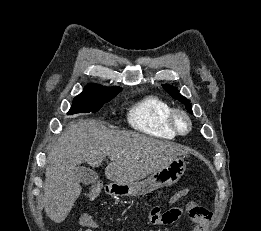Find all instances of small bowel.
<instances>
[{
    "label": "small bowel",
    "instance_id": "c3829d8e",
    "mask_svg": "<svg viewBox=\"0 0 261 231\" xmlns=\"http://www.w3.org/2000/svg\"><path fill=\"white\" fill-rule=\"evenodd\" d=\"M185 195L188 193L187 189L182 190ZM177 194L172 197L174 200ZM182 210L180 208H171L166 211H162L158 205H153L149 211L148 226H170L173 225L181 217ZM80 225L84 228L80 231H95L97 229L96 222L92 219L89 213H84L80 218ZM192 231H204V229L198 225H194Z\"/></svg>",
    "mask_w": 261,
    "mask_h": 231
}]
</instances>
